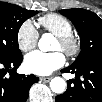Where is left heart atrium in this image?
<instances>
[{"instance_id":"39dd6f15","label":"left heart atrium","mask_w":102,"mask_h":102,"mask_svg":"<svg viewBox=\"0 0 102 102\" xmlns=\"http://www.w3.org/2000/svg\"><path fill=\"white\" fill-rule=\"evenodd\" d=\"M25 64L29 72L44 76L64 66L65 57L59 51L51 53L33 51L26 56Z\"/></svg>"}]
</instances>
